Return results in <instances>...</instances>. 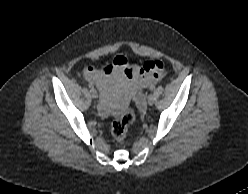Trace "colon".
Segmentation results:
<instances>
[{
	"label": "colon",
	"instance_id": "1",
	"mask_svg": "<svg viewBox=\"0 0 248 194\" xmlns=\"http://www.w3.org/2000/svg\"><path fill=\"white\" fill-rule=\"evenodd\" d=\"M163 68V63L161 61L150 62L146 69L150 70H160ZM135 119V112L132 107L128 106L124 109L121 116L113 121L111 126V135L113 139L122 143L127 134V130L130 124L133 123Z\"/></svg>",
	"mask_w": 248,
	"mask_h": 194
}]
</instances>
